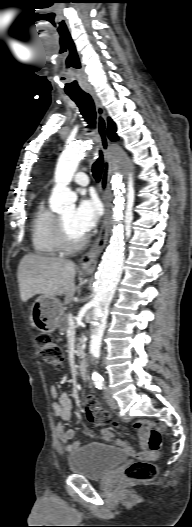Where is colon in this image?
Segmentation results:
<instances>
[{"instance_id":"1","label":"colon","mask_w":192,"mask_h":527,"mask_svg":"<svg viewBox=\"0 0 192 527\" xmlns=\"http://www.w3.org/2000/svg\"><path fill=\"white\" fill-rule=\"evenodd\" d=\"M35 341L44 361L55 369H61L64 362L63 353L53 338L47 333L40 332L36 335ZM85 411L91 423L100 426L111 423L109 413L92 396H89L86 400ZM139 424H141L142 429L146 430L149 449L152 451L160 449L163 443V435L160 428L155 424L147 426L143 423ZM156 475L157 466L155 464L147 463L142 465L139 461L132 463L125 470V477L129 481H152Z\"/></svg>"}]
</instances>
